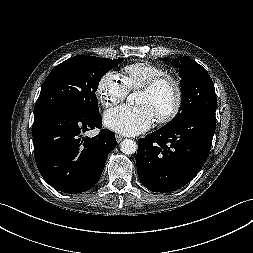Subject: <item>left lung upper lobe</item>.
<instances>
[{"instance_id":"5c2ea615","label":"left lung upper lobe","mask_w":253,"mask_h":253,"mask_svg":"<svg viewBox=\"0 0 253 253\" xmlns=\"http://www.w3.org/2000/svg\"><path fill=\"white\" fill-rule=\"evenodd\" d=\"M172 64L179 68L182 101L177 115L162 127L164 129L173 128L199 112L215 113L217 107L213 81L200 64L188 57L173 59Z\"/></svg>"}]
</instances>
